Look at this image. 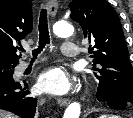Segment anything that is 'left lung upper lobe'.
Listing matches in <instances>:
<instances>
[{
    "instance_id": "left-lung-upper-lobe-1",
    "label": "left lung upper lobe",
    "mask_w": 133,
    "mask_h": 118,
    "mask_svg": "<svg viewBox=\"0 0 133 118\" xmlns=\"http://www.w3.org/2000/svg\"><path fill=\"white\" fill-rule=\"evenodd\" d=\"M71 18L78 22L93 50V70L99 80V101L112 95L133 105V70L128 59L121 23L116 11L105 0H72Z\"/></svg>"
}]
</instances>
